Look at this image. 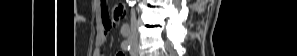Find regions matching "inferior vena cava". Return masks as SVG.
<instances>
[{"instance_id":"1","label":"inferior vena cava","mask_w":297,"mask_h":56,"mask_svg":"<svg viewBox=\"0 0 297 56\" xmlns=\"http://www.w3.org/2000/svg\"><path fill=\"white\" fill-rule=\"evenodd\" d=\"M131 33L133 35L136 34V15L134 10L131 11Z\"/></svg>"}]
</instances>
